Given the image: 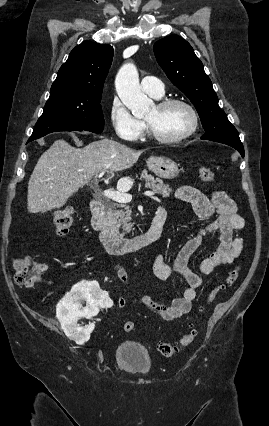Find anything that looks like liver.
Listing matches in <instances>:
<instances>
[{
	"mask_svg": "<svg viewBox=\"0 0 269 426\" xmlns=\"http://www.w3.org/2000/svg\"><path fill=\"white\" fill-rule=\"evenodd\" d=\"M140 156L124 144L102 139L84 148H75L63 139L56 140L39 158L28 183L29 213H45L61 208L80 187L103 171L131 168Z\"/></svg>",
	"mask_w": 269,
	"mask_h": 426,
	"instance_id": "1",
	"label": "liver"
}]
</instances>
